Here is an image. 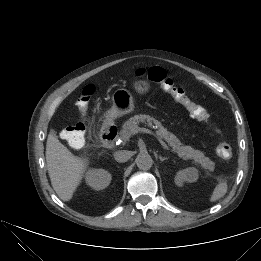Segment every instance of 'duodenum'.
<instances>
[{"instance_id":"1","label":"duodenum","mask_w":261,"mask_h":261,"mask_svg":"<svg viewBox=\"0 0 261 261\" xmlns=\"http://www.w3.org/2000/svg\"><path fill=\"white\" fill-rule=\"evenodd\" d=\"M118 130L115 126H106L101 130L100 138L105 147H112L115 144Z\"/></svg>"}]
</instances>
